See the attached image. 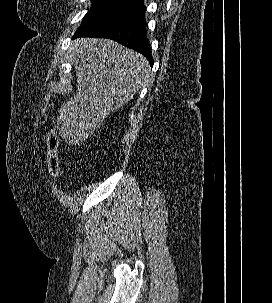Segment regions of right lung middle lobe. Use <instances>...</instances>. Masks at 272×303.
I'll use <instances>...</instances> for the list:
<instances>
[{"label": "right lung middle lobe", "mask_w": 272, "mask_h": 303, "mask_svg": "<svg viewBox=\"0 0 272 303\" xmlns=\"http://www.w3.org/2000/svg\"><path fill=\"white\" fill-rule=\"evenodd\" d=\"M140 11H142V9L137 5L127 2L92 0L91 9L85 15L76 33L88 32L104 24L134 15Z\"/></svg>", "instance_id": "dd1d6c3e"}]
</instances>
